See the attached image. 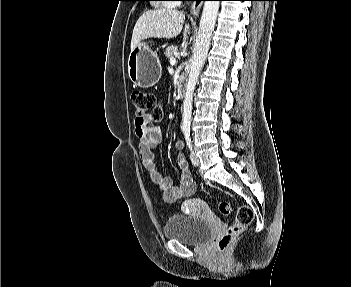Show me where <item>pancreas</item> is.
I'll list each match as a JSON object with an SVG mask.
<instances>
[{"label":"pancreas","instance_id":"obj_1","mask_svg":"<svg viewBox=\"0 0 351 287\" xmlns=\"http://www.w3.org/2000/svg\"><path fill=\"white\" fill-rule=\"evenodd\" d=\"M177 50H178L177 46H170L166 48L164 54L169 60H171L172 58L175 57Z\"/></svg>","mask_w":351,"mask_h":287}]
</instances>
